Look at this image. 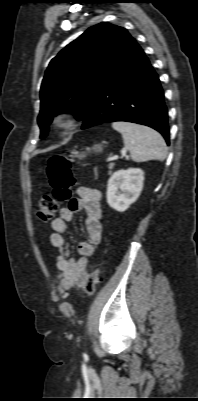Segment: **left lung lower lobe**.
<instances>
[{
  "mask_svg": "<svg viewBox=\"0 0 198 401\" xmlns=\"http://www.w3.org/2000/svg\"><path fill=\"white\" fill-rule=\"evenodd\" d=\"M163 97L158 75L136 43L94 99L82 119V129L106 122H133L159 131L169 145Z\"/></svg>",
  "mask_w": 198,
  "mask_h": 401,
  "instance_id": "left-lung-lower-lobe-1",
  "label": "left lung lower lobe"
}]
</instances>
